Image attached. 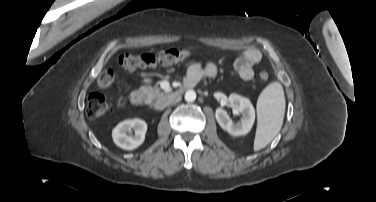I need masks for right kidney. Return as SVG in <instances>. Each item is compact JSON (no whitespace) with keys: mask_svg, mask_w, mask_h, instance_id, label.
I'll list each match as a JSON object with an SVG mask.
<instances>
[{"mask_svg":"<svg viewBox=\"0 0 376 202\" xmlns=\"http://www.w3.org/2000/svg\"><path fill=\"white\" fill-rule=\"evenodd\" d=\"M134 130V135H127V132ZM147 124L141 119H127L120 122L113 130L114 143L122 149L134 150L145 140Z\"/></svg>","mask_w":376,"mask_h":202,"instance_id":"right-kidney-1","label":"right kidney"}]
</instances>
